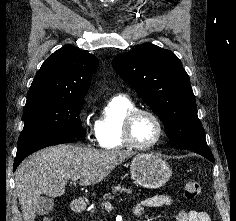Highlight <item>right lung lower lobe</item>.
Instances as JSON below:
<instances>
[{
  "label": "right lung lower lobe",
  "instance_id": "right-lung-lower-lobe-1",
  "mask_svg": "<svg viewBox=\"0 0 236 221\" xmlns=\"http://www.w3.org/2000/svg\"><path fill=\"white\" fill-rule=\"evenodd\" d=\"M74 142V138L70 137H41L27 140L18 144L16 158L14 160L13 171L16 170L17 166L21 163V161L30 155L31 153L42 149L44 147H48L51 145L62 144V143H70Z\"/></svg>",
  "mask_w": 236,
  "mask_h": 221
}]
</instances>
